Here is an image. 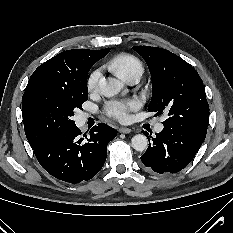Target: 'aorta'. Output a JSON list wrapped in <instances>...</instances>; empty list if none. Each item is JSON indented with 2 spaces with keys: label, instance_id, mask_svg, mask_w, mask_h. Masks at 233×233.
<instances>
[{
  "label": "aorta",
  "instance_id": "obj_1",
  "mask_svg": "<svg viewBox=\"0 0 233 233\" xmlns=\"http://www.w3.org/2000/svg\"><path fill=\"white\" fill-rule=\"evenodd\" d=\"M99 86L101 93L105 97H112L122 89V83L115 78H102L100 79ZM131 145L136 151H144L148 146V139L143 134H137L132 137Z\"/></svg>",
  "mask_w": 233,
  "mask_h": 233
}]
</instances>
